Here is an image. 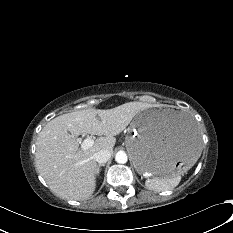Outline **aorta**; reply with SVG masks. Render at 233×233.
<instances>
[{
  "mask_svg": "<svg viewBox=\"0 0 233 233\" xmlns=\"http://www.w3.org/2000/svg\"><path fill=\"white\" fill-rule=\"evenodd\" d=\"M115 160L117 163L124 164L127 162V154L124 151H118L115 155Z\"/></svg>",
  "mask_w": 233,
  "mask_h": 233,
  "instance_id": "762f6f07",
  "label": "aorta"
}]
</instances>
